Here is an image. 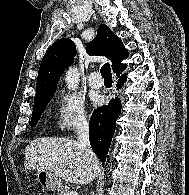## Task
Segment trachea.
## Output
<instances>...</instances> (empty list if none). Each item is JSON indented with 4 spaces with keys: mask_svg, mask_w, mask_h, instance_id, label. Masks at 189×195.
<instances>
[{
    "mask_svg": "<svg viewBox=\"0 0 189 195\" xmlns=\"http://www.w3.org/2000/svg\"><path fill=\"white\" fill-rule=\"evenodd\" d=\"M101 75L104 78V81H112V73L109 63L104 64L101 67Z\"/></svg>",
    "mask_w": 189,
    "mask_h": 195,
    "instance_id": "trachea-1",
    "label": "trachea"
}]
</instances>
